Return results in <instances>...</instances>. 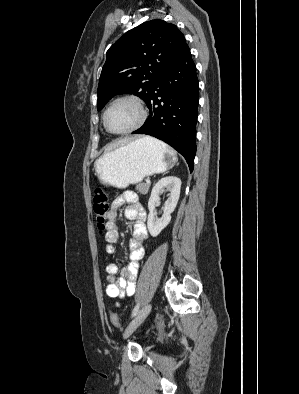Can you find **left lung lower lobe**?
<instances>
[{"label": "left lung lower lobe", "instance_id": "left-lung-lower-lobe-1", "mask_svg": "<svg viewBox=\"0 0 299 394\" xmlns=\"http://www.w3.org/2000/svg\"><path fill=\"white\" fill-rule=\"evenodd\" d=\"M198 101L196 66L186 46L155 83L146 103L150 115L133 134H147L166 142L184 156L192 172Z\"/></svg>", "mask_w": 299, "mask_h": 394}]
</instances>
